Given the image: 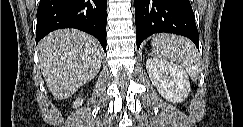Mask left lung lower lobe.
<instances>
[{
    "instance_id": "left-lung-lower-lobe-1",
    "label": "left lung lower lobe",
    "mask_w": 243,
    "mask_h": 127,
    "mask_svg": "<svg viewBox=\"0 0 243 127\" xmlns=\"http://www.w3.org/2000/svg\"><path fill=\"white\" fill-rule=\"evenodd\" d=\"M137 48L148 36L183 35L199 47V34L189 0H134Z\"/></svg>"
}]
</instances>
